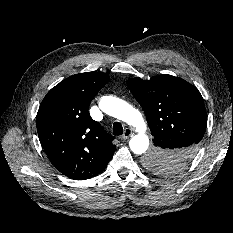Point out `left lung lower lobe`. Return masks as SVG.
Returning <instances> with one entry per match:
<instances>
[{
  "mask_svg": "<svg viewBox=\"0 0 233 233\" xmlns=\"http://www.w3.org/2000/svg\"><path fill=\"white\" fill-rule=\"evenodd\" d=\"M154 143L161 146L170 153L167 161L184 165L194 157L191 140L180 135H160L154 138Z\"/></svg>",
  "mask_w": 233,
  "mask_h": 233,
  "instance_id": "left-lung-lower-lobe-1",
  "label": "left lung lower lobe"
}]
</instances>
